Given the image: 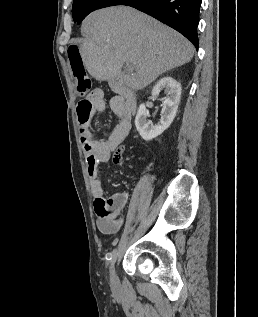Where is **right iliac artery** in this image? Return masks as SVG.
Listing matches in <instances>:
<instances>
[{"label":"right iliac artery","mask_w":258,"mask_h":317,"mask_svg":"<svg viewBox=\"0 0 258 317\" xmlns=\"http://www.w3.org/2000/svg\"><path fill=\"white\" fill-rule=\"evenodd\" d=\"M117 249L113 250V259H112V267L114 266V263L116 262L117 259Z\"/></svg>","instance_id":"1"}]
</instances>
